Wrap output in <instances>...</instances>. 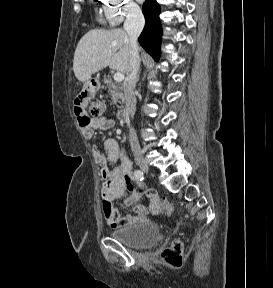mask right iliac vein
Returning a JSON list of instances; mask_svg holds the SVG:
<instances>
[{
	"label": "right iliac vein",
	"instance_id": "obj_1",
	"mask_svg": "<svg viewBox=\"0 0 273 288\" xmlns=\"http://www.w3.org/2000/svg\"><path fill=\"white\" fill-rule=\"evenodd\" d=\"M136 162H137L138 166L140 167V169L143 172H148L149 171V165H148L147 161L143 157H138L136 159Z\"/></svg>",
	"mask_w": 273,
	"mask_h": 288
}]
</instances>
